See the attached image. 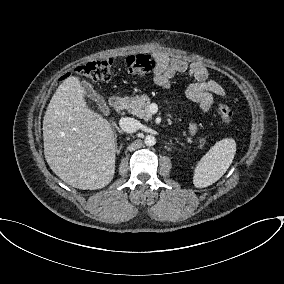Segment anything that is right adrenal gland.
<instances>
[{
  "mask_svg": "<svg viewBox=\"0 0 284 284\" xmlns=\"http://www.w3.org/2000/svg\"><path fill=\"white\" fill-rule=\"evenodd\" d=\"M115 128H116V130H117L119 133H123L122 130H121L116 124H115ZM114 138H115V140H116V138H117V135H116V134H114ZM121 148H122V144H121V145L119 146V148L117 149V154L120 153Z\"/></svg>",
  "mask_w": 284,
  "mask_h": 284,
  "instance_id": "right-adrenal-gland-1",
  "label": "right adrenal gland"
}]
</instances>
